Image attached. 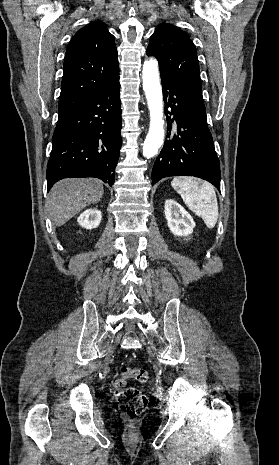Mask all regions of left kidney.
<instances>
[{
    "instance_id": "left-kidney-1",
    "label": "left kidney",
    "mask_w": 279,
    "mask_h": 465,
    "mask_svg": "<svg viewBox=\"0 0 279 465\" xmlns=\"http://www.w3.org/2000/svg\"><path fill=\"white\" fill-rule=\"evenodd\" d=\"M164 209L168 228L175 236H188L193 232L195 222L178 202L167 199Z\"/></svg>"
}]
</instances>
